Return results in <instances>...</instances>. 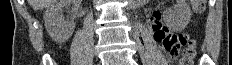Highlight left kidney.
I'll return each mask as SVG.
<instances>
[{
  "instance_id": "1",
  "label": "left kidney",
  "mask_w": 232,
  "mask_h": 65,
  "mask_svg": "<svg viewBox=\"0 0 232 65\" xmlns=\"http://www.w3.org/2000/svg\"><path fill=\"white\" fill-rule=\"evenodd\" d=\"M192 12L185 0H177L173 9H168L164 13L166 24L175 31H182L191 20Z\"/></svg>"
}]
</instances>
